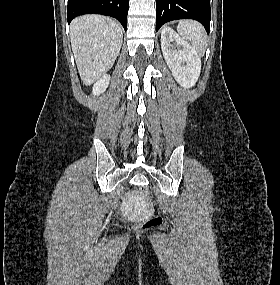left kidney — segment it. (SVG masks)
<instances>
[{
  "label": "left kidney",
  "instance_id": "5707ae66",
  "mask_svg": "<svg viewBox=\"0 0 280 285\" xmlns=\"http://www.w3.org/2000/svg\"><path fill=\"white\" fill-rule=\"evenodd\" d=\"M161 49L175 80L184 88L194 86L201 71L195 49L167 26L161 31Z\"/></svg>",
  "mask_w": 280,
  "mask_h": 285
}]
</instances>
